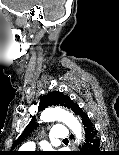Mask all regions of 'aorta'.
<instances>
[{
  "label": "aorta",
  "mask_w": 119,
  "mask_h": 155,
  "mask_svg": "<svg viewBox=\"0 0 119 155\" xmlns=\"http://www.w3.org/2000/svg\"><path fill=\"white\" fill-rule=\"evenodd\" d=\"M41 119L44 122L60 121L67 125L75 134L76 143L79 144L82 139V128L76 117L69 111L61 107H49L46 108L42 114Z\"/></svg>",
  "instance_id": "aorta-1"
}]
</instances>
